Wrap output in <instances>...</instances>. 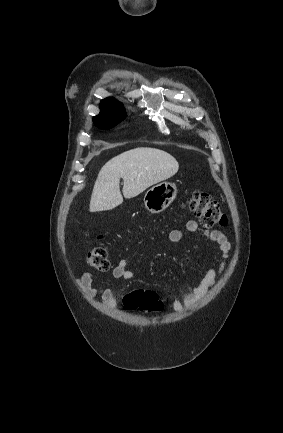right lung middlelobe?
<instances>
[{
	"instance_id": "1",
	"label": "right lung middle lobe",
	"mask_w": 283,
	"mask_h": 433,
	"mask_svg": "<svg viewBox=\"0 0 283 433\" xmlns=\"http://www.w3.org/2000/svg\"><path fill=\"white\" fill-rule=\"evenodd\" d=\"M125 116V112L111 113L95 116L93 121L99 128L109 129L117 125L120 121L124 120Z\"/></svg>"
}]
</instances>
